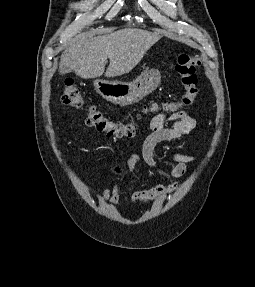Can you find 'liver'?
Masks as SVG:
<instances>
[{"label": "liver", "mask_w": 255, "mask_h": 287, "mask_svg": "<svg viewBox=\"0 0 255 287\" xmlns=\"http://www.w3.org/2000/svg\"><path fill=\"white\" fill-rule=\"evenodd\" d=\"M161 38L159 34L137 28H125L96 38L79 36L77 42L63 52L60 66H68L79 78L90 80L104 74L109 58L106 78L123 76L129 74L144 58L147 50Z\"/></svg>", "instance_id": "liver-1"}]
</instances>
